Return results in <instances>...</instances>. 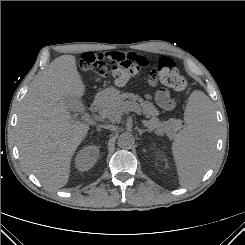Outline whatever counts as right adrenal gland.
Masks as SVG:
<instances>
[{"label": "right adrenal gland", "instance_id": "right-adrenal-gland-1", "mask_svg": "<svg viewBox=\"0 0 245 245\" xmlns=\"http://www.w3.org/2000/svg\"><path fill=\"white\" fill-rule=\"evenodd\" d=\"M97 131H99V132L101 131L99 127L97 128Z\"/></svg>", "mask_w": 245, "mask_h": 245}]
</instances>
